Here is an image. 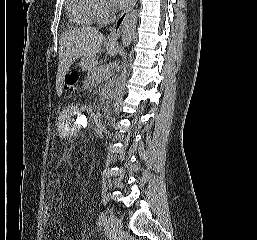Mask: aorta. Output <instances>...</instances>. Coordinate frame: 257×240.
I'll use <instances>...</instances> for the list:
<instances>
[{"label": "aorta", "mask_w": 257, "mask_h": 240, "mask_svg": "<svg viewBox=\"0 0 257 240\" xmlns=\"http://www.w3.org/2000/svg\"><path fill=\"white\" fill-rule=\"evenodd\" d=\"M138 21V12L137 10H132L125 18L123 26H122V32H121V38H122V44L124 47H128L135 35L136 25Z\"/></svg>", "instance_id": "1"}]
</instances>
